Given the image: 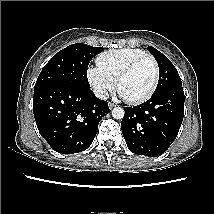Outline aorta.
<instances>
[{
    "label": "aorta",
    "mask_w": 214,
    "mask_h": 214,
    "mask_svg": "<svg viewBox=\"0 0 214 214\" xmlns=\"http://www.w3.org/2000/svg\"><path fill=\"white\" fill-rule=\"evenodd\" d=\"M112 116L115 119H122L124 117V110L121 107H115L112 110Z\"/></svg>",
    "instance_id": "1"
}]
</instances>
